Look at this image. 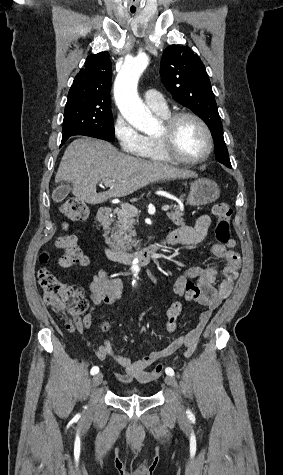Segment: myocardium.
Masks as SVG:
<instances>
[{
    "instance_id": "obj_1",
    "label": "myocardium",
    "mask_w": 283,
    "mask_h": 475,
    "mask_svg": "<svg viewBox=\"0 0 283 475\" xmlns=\"http://www.w3.org/2000/svg\"><path fill=\"white\" fill-rule=\"evenodd\" d=\"M183 118H191L198 122L202 129L205 132L206 135V140H207V146L206 150L199 156L192 157V158H183V157H171L170 155L167 154L165 146L166 144H172L173 143V136L175 133V128L180 120ZM158 140V150L160 153V156L164 162H203L207 158L210 157V155L213 152V137L211 130L209 126L206 124V122L197 114L192 113V112H187V111H181V112H174L171 113L166 119H165V124H164V129H163V134L161 136L157 137Z\"/></svg>"
}]
</instances>
